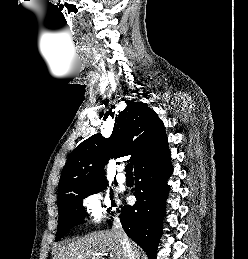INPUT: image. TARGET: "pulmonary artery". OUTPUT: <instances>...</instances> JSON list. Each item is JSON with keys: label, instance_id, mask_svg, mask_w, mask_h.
<instances>
[{"label": "pulmonary artery", "instance_id": "1", "mask_svg": "<svg viewBox=\"0 0 248 259\" xmlns=\"http://www.w3.org/2000/svg\"><path fill=\"white\" fill-rule=\"evenodd\" d=\"M123 171V167H120L119 169V173L116 176L117 182L120 184H123L126 182V176L124 175Z\"/></svg>", "mask_w": 248, "mask_h": 259}]
</instances>
